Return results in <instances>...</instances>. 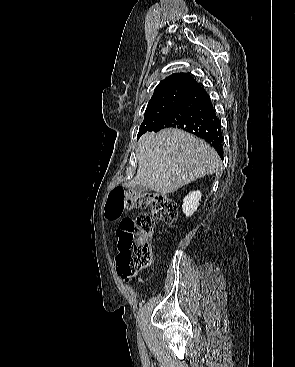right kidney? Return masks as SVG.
<instances>
[{"label":"right kidney","mask_w":295,"mask_h":367,"mask_svg":"<svg viewBox=\"0 0 295 367\" xmlns=\"http://www.w3.org/2000/svg\"><path fill=\"white\" fill-rule=\"evenodd\" d=\"M201 192L200 191H193L190 192L183 200V205H182V209H183V213L187 216V217H191L194 212L197 210L198 206H199V202L201 200Z\"/></svg>","instance_id":"ca27d5eb"}]
</instances>
